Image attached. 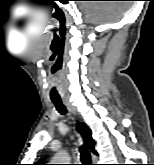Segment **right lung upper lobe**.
<instances>
[{
	"mask_svg": "<svg viewBox=\"0 0 154 165\" xmlns=\"http://www.w3.org/2000/svg\"><path fill=\"white\" fill-rule=\"evenodd\" d=\"M77 130L81 133L83 140L90 149V151L94 154H97L96 151L94 150L95 142L92 139V133L89 127L85 123L80 122L78 123ZM35 165H45V164H43L42 162H38Z\"/></svg>",
	"mask_w": 154,
	"mask_h": 165,
	"instance_id": "1",
	"label": "right lung upper lobe"
}]
</instances>
